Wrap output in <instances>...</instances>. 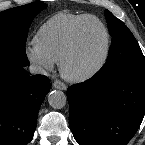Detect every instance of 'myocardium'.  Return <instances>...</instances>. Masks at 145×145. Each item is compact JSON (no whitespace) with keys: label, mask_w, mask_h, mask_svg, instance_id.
Returning <instances> with one entry per match:
<instances>
[{"label":"myocardium","mask_w":145,"mask_h":145,"mask_svg":"<svg viewBox=\"0 0 145 145\" xmlns=\"http://www.w3.org/2000/svg\"><path fill=\"white\" fill-rule=\"evenodd\" d=\"M89 21H94L102 27V29L104 31V35H105L104 50H103V53H102L101 57L99 58V60L95 64H93L91 67H89L85 70H82V71H73V70H71L70 65H71L72 60L76 56V54L79 50V47L81 45V31H82L83 27ZM110 45H111L110 33H109L107 26L105 25V23L102 20H100L99 18H97L93 15L83 19L76 26V28L74 30L72 41H71L68 49L66 50V52L64 53V55L62 56V58L59 61V69H60L61 75L66 80H68L70 82H76V83L84 82V81L91 79L106 64L108 57H109V53H110Z\"/></svg>","instance_id":"obj_1"}]
</instances>
